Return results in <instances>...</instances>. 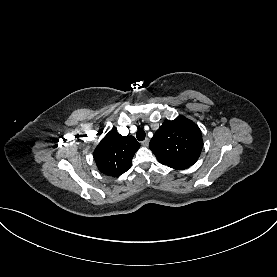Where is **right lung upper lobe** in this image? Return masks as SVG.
<instances>
[{
	"label": "right lung upper lobe",
	"instance_id": "obj_1",
	"mask_svg": "<svg viewBox=\"0 0 277 277\" xmlns=\"http://www.w3.org/2000/svg\"><path fill=\"white\" fill-rule=\"evenodd\" d=\"M140 144L133 136H122L111 130L96 147L93 157L100 172L118 177L132 164V158Z\"/></svg>",
	"mask_w": 277,
	"mask_h": 277
}]
</instances>
